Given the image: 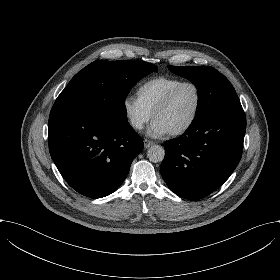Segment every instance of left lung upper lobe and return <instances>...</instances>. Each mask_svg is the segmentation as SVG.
I'll return each instance as SVG.
<instances>
[{"mask_svg": "<svg viewBox=\"0 0 280 280\" xmlns=\"http://www.w3.org/2000/svg\"><path fill=\"white\" fill-rule=\"evenodd\" d=\"M175 74L187 78L197 88L198 105L195 118L220 108L239 104L236 91L228 79L209 66H170Z\"/></svg>", "mask_w": 280, "mask_h": 280, "instance_id": "1", "label": "left lung upper lobe"}]
</instances>
